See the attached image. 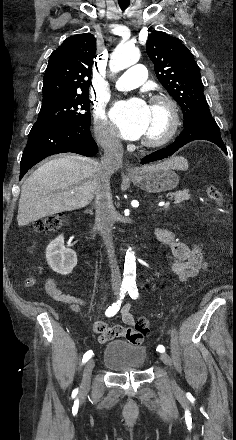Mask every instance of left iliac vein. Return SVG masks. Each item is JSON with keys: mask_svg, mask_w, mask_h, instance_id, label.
<instances>
[{"mask_svg": "<svg viewBox=\"0 0 236 440\" xmlns=\"http://www.w3.org/2000/svg\"><path fill=\"white\" fill-rule=\"evenodd\" d=\"M160 358L164 364H166L168 366H172V361H171V358L169 357L168 354L163 353V354H161ZM172 384L174 387H176V384L174 382Z\"/></svg>", "mask_w": 236, "mask_h": 440, "instance_id": "1", "label": "left iliac vein"}]
</instances>
